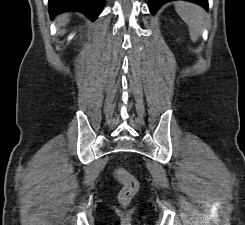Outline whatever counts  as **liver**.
I'll return each instance as SVG.
<instances>
[{"label": "liver", "mask_w": 245, "mask_h": 225, "mask_svg": "<svg viewBox=\"0 0 245 225\" xmlns=\"http://www.w3.org/2000/svg\"><path fill=\"white\" fill-rule=\"evenodd\" d=\"M67 22H68V19H67V16H66V15H62V16H59V17L57 18V23H58L59 25L64 26Z\"/></svg>", "instance_id": "obj_1"}]
</instances>
